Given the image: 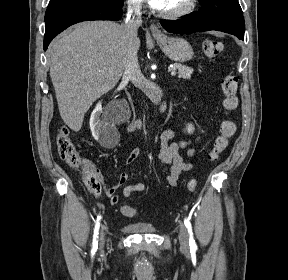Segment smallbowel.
<instances>
[{"label": "small bowel", "mask_w": 288, "mask_h": 280, "mask_svg": "<svg viewBox=\"0 0 288 280\" xmlns=\"http://www.w3.org/2000/svg\"><path fill=\"white\" fill-rule=\"evenodd\" d=\"M174 131L172 129L164 130L160 135V149L158 158L160 163L167 167L166 180L168 184L175 187L180 177L187 171L193 168V164L185 162L180 151L185 149L187 155L192 158H197L195 149L191 146L190 140L172 141L174 139ZM141 150L139 148L132 149L126 159L125 163L127 166H132L133 163L140 157ZM98 178L102 182V175L97 170ZM128 181V174L121 173L117 179V182L106 188L105 193L109 198L111 205H117L120 202V198L117 195V190L124 186ZM146 191V185L144 183H135L127 185L123 189V196L128 198L135 192ZM122 208V206H121ZM120 208V210H121Z\"/></svg>", "instance_id": "obj_1"}]
</instances>
